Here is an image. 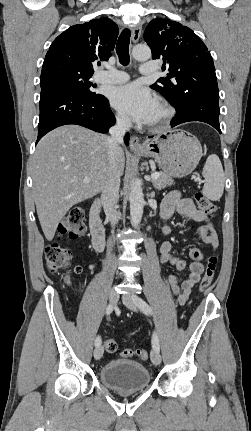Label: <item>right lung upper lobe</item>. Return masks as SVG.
<instances>
[{
  "label": "right lung upper lobe",
  "mask_w": 251,
  "mask_h": 431,
  "mask_svg": "<svg viewBox=\"0 0 251 431\" xmlns=\"http://www.w3.org/2000/svg\"><path fill=\"white\" fill-rule=\"evenodd\" d=\"M117 36L118 26L109 18L71 26L50 45L42 68L54 62H68L93 73L95 60L107 61L112 55Z\"/></svg>",
  "instance_id": "right-lung-upper-lobe-1"
}]
</instances>
